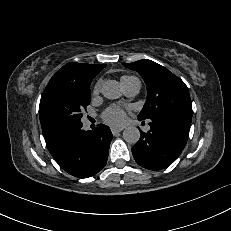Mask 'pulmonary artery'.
Segmentation results:
<instances>
[{
    "label": "pulmonary artery",
    "mask_w": 231,
    "mask_h": 231,
    "mask_svg": "<svg viewBox=\"0 0 231 231\" xmlns=\"http://www.w3.org/2000/svg\"><path fill=\"white\" fill-rule=\"evenodd\" d=\"M121 83L127 96L133 97L140 91L141 83L136 77H130Z\"/></svg>",
    "instance_id": "1"
}]
</instances>
